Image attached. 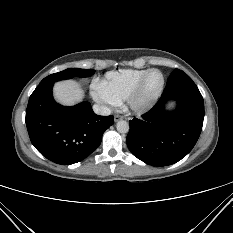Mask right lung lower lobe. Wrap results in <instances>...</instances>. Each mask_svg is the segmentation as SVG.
<instances>
[{"label": "right lung lower lobe", "mask_w": 233, "mask_h": 233, "mask_svg": "<svg viewBox=\"0 0 233 233\" xmlns=\"http://www.w3.org/2000/svg\"><path fill=\"white\" fill-rule=\"evenodd\" d=\"M60 80L64 79L49 75L36 87L28 102L26 125L32 144L44 157L69 165L96 150L114 119L96 115L86 101L72 107L57 104L52 87Z\"/></svg>", "instance_id": "right-lung-lower-lobe-1"}]
</instances>
